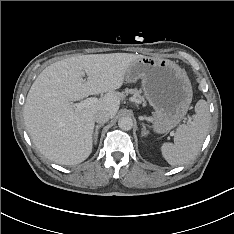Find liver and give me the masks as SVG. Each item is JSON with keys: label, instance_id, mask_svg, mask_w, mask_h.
Segmentation results:
<instances>
[{"label": "liver", "instance_id": "obj_1", "mask_svg": "<svg viewBox=\"0 0 234 234\" xmlns=\"http://www.w3.org/2000/svg\"><path fill=\"white\" fill-rule=\"evenodd\" d=\"M143 55H78L46 67L32 84L24 105V122L39 152L60 165H75L92 152L94 114L116 115L127 68ZM87 74V80L82 74ZM106 93L97 103L76 111L72 101Z\"/></svg>", "mask_w": 234, "mask_h": 234}]
</instances>
